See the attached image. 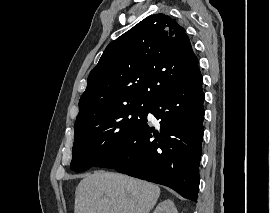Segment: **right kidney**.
I'll return each mask as SVG.
<instances>
[{"label": "right kidney", "mask_w": 270, "mask_h": 213, "mask_svg": "<svg viewBox=\"0 0 270 213\" xmlns=\"http://www.w3.org/2000/svg\"><path fill=\"white\" fill-rule=\"evenodd\" d=\"M153 213H178L172 200H164L160 202Z\"/></svg>", "instance_id": "obj_1"}]
</instances>
